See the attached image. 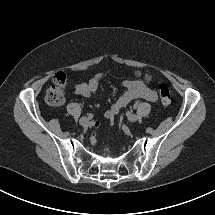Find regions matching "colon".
<instances>
[{"instance_id": "1", "label": "colon", "mask_w": 215, "mask_h": 215, "mask_svg": "<svg viewBox=\"0 0 215 215\" xmlns=\"http://www.w3.org/2000/svg\"><path fill=\"white\" fill-rule=\"evenodd\" d=\"M67 84V77L64 73L59 72L53 78V85L50 86L45 95V101L51 106H59L63 104L65 100L64 88ZM158 92L160 101L163 105H169L171 103V91L163 84H158ZM91 141L96 142L95 133L91 136Z\"/></svg>"}]
</instances>
